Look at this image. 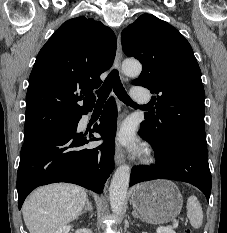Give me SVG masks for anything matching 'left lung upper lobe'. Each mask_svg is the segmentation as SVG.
<instances>
[{"instance_id": "1", "label": "left lung upper lobe", "mask_w": 227, "mask_h": 233, "mask_svg": "<svg viewBox=\"0 0 227 233\" xmlns=\"http://www.w3.org/2000/svg\"><path fill=\"white\" fill-rule=\"evenodd\" d=\"M124 53L143 65L134 85L151 91L155 110L145 114L140 131L161 145L183 138L206 147L205 91L192 47L169 23L143 14L121 34Z\"/></svg>"}]
</instances>
